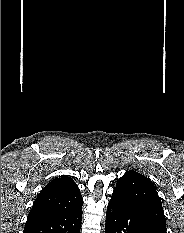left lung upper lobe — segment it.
<instances>
[{
    "mask_svg": "<svg viewBox=\"0 0 184 233\" xmlns=\"http://www.w3.org/2000/svg\"><path fill=\"white\" fill-rule=\"evenodd\" d=\"M112 196H118L139 210L158 233H167L160 197L147 177L127 171L117 182Z\"/></svg>",
    "mask_w": 184,
    "mask_h": 233,
    "instance_id": "left-lung-upper-lobe-1",
    "label": "left lung upper lobe"
}]
</instances>
